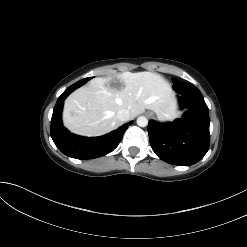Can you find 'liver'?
Listing matches in <instances>:
<instances>
[{
  "instance_id": "liver-1",
  "label": "liver",
  "mask_w": 247,
  "mask_h": 247,
  "mask_svg": "<svg viewBox=\"0 0 247 247\" xmlns=\"http://www.w3.org/2000/svg\"><path fill=\"white\" fill-rule=\"evenodd\" d=\"M127 109L130 118L152 110L162 120L178 117L170 84L159 74L124 72L115 77H96L74 91L64 104L63 123L71 132L101 136L122 125L117 112Z\"/></svg>"
}]
</instances>
